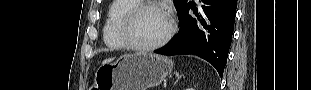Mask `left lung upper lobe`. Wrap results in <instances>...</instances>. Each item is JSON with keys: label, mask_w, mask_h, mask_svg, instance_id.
<instances>
[{"label": "left lung upper lobe", "mask_w": 311, "mask_h": 90, "mask_svg": "<svg viewBox=\"0 0 311 90\" xmlns=\"http://www.w3.org/2000/svg\"><path fill=\"white\" fill-rule=\"evenodd\" d=\"M188 0H174L177 14L186 6Z\"/></svg>", "instance_id": "5c2ea615"}]
</instances>
